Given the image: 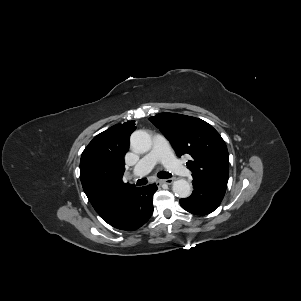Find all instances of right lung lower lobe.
I'll list each match as a JSON object with an SVG mask.
<instances>
[{"label": "right lung lower lobe", "mask_w": 301, "mask_h": 301, "mask_svg": "<svg viewBox=\"0 0 301 301\" xmlns=\"http://www.w3.org/2000/svg\"><path fill=\"white\" fill-rule=\"evenodd\" d=\"M155 184L131 190L117 215L108 223L125 231H133L144 225L153 213L152 197Z\"/></svg>", "instance_id": "right-lung-lower-lobe-1"}]
</instances>
